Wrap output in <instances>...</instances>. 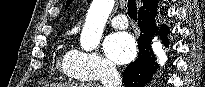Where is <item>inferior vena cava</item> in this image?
I'll return each mask as SVG.
<instances>
[{
  "instance_id": "602c4592",
  "label": "inferior vena cava",
  "mask_w": 205,
  "mask_h": 87,
  "mask_svg": "<svg viewBox=\"0 0 205 87\" xmlns=\"http://www.w3.org/2000/svg\"><path fill=\"white\" fill-rule=\"evenodd\" d=\"M102 84L104 87H121L122 79L115 66L108 63L102 70Z\"/></svg>"
}]
</instances>
